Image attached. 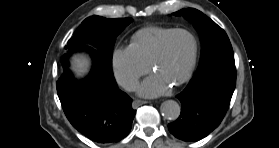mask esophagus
Listing matches in <instances>:
<instances>
[{"label":"esophagus","instance_id":"esophagus-1","mask_svg":"<svg viewBox=\"0 0 279 148\" xmlns=\"http://www.w3.org/2000/svg\"><path fill=\"white\" fill-rule=\"evenodd\" d=\"M146 103H148V101L136 99L132 102V107L137 108V107H139L143 104H146Z\"/></svg>","mask_w":279,"mask_h":148}]
</instances>
